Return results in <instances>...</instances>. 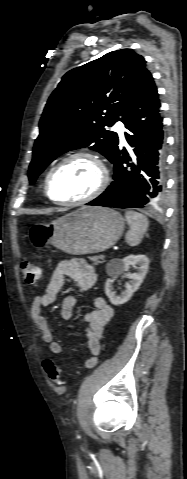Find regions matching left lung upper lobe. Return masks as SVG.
Instances as JSON below:
<instances>
[{
    "label": "left lung upper lobe",
    "instance_id": "1",
    "mask_svg": "<svg viewBox=\"0 0 187 479\" xmlns=\"http://www.w3.org/2000/svg\"><path fill=\"white\" fill-rule=\"evenodd\" d=\"M151 73L131 49L109 52L67 72L49 97L40 120L28 177L33 184L59 155L90 146L111 162L119 150L116 132Z\"/></svg>",
    "mask_w": 187,
    "mask_h": 479
}]
</instances>
